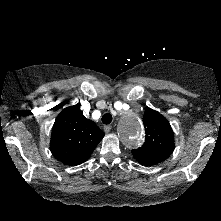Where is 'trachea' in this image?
<instances>
[{"label":"trachea","instance_id":"trachea-1","mask_svg":"<svg viewBox=\"0 0 221 221\" xmlns=\"http://www.w3.org/2000/svg\"><path fill=\"white\" fill-rule=\"evenodd\" d=\"M111 121H112V116H111V114L105 113V114L102 116V122H103L104 124H110Z\"/></svg>","mask_w":221,"mask_h":221}]
</instances>
